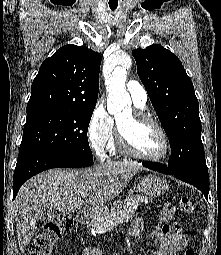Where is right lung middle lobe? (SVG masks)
<instances>
[{
	"instance_id": "obj_1",
	"label": "right lung middle lobe",
	"mask_w": 221,
	"mask_h": 255,
	"mask_svg": "<svg viewBox=\"0 0 221 255\" xmlns=\"http://www.w3.org/2000/svg\"><path fill=\"white\" fill-rule=\"evenodd\" d=\"M95 107L27 112L19 152L38 150L93 160L87 131Z\"/></svg>"
}]
</instances>
